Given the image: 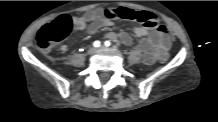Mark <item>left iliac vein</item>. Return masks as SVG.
I'll list each match as a JSON object with an SVG mask.
<instances>
[{"label":"left iliac vein","mask_w":218,"mask_h":122,"mask_svg":"<svg viewBox=\"0 0 218 122\" xmlns=\"http://www.w3.org/2000/svg\"><path fill=\"white\" fill-rule=\"evenodd\" d=\"M103 49H105V46H104V45H102V46L99 47V50H103Z\"/></svg>","instance_id":"4c4485c4"}]
</instances>
